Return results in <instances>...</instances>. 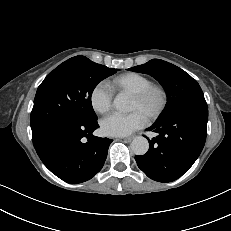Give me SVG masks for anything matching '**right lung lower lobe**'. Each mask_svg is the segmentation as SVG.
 <instances>
[{
  "instance_id": "right-lung-lower-lobe-1",
  "label": "right lung lower lobe",
  "mask_w": 231,
  "mask_h": 231,
  "mask_svg": "<svg viewBox=\"0 0 231 231\" xmlns=\"http://www.w3.org/2000/svg\"><path fill=\"white\" fill-rule=\"evenodd\" d=\"M98 127L97 120H63L33 137V144L53 174L70 184L82 183L102 169L112 142L92 135Z\"/></svg>"
}]
</instances>
